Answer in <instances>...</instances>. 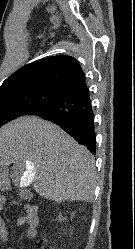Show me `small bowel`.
<instances>
[{
    "label": "small bowel",
    "mask_w": 135,
    "mask_h": 249,
    "mask_svg": "<svg viewBox=\"0 0 135 249\" xmlns=\"http://www.w3.org/2000/svg\"><path fill=\"white\" fill-rule=\"evenodd\" d=\"M6 204V198L0 195V211ZM17 205L24 207L25 213L22 217L18 218L17 225L26 227V236L28 238H34L37 234V228L39 225L38 208L35 205H23L15 202ZM0 240L7 244V229L2 217L0 216ZM7 249L10 247L7 246Z\"/></svg>",
    "instance_id": "obj_1"
}]
</instances>
